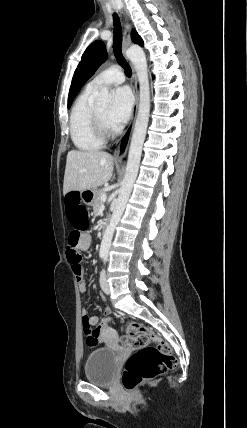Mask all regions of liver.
Here are the masks:
<instances>
[{
    "instance_id": "6515ba94",
    "label": "liver",
    "mask_w": 247,
    "mask_h": 428,
    "mask_svg": "<svg viewBox=\"0 0 247 428\" xmlns=\"http://www.w3.org/2000/svg\"><path fill=\"white\" fill-rule=\"evenodd\" d=\"M113 176V157L104 151L71 150L67 154L63 194L96 189Z\"/></svg>"
}]
</instances>
